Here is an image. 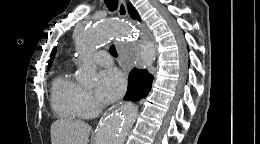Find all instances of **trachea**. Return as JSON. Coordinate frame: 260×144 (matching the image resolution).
<instances>
[{
	"mask_svg": "<svg viewBox=\"0 0 260 144\" xmlns=\"http://www.w3.org/2000/svg\"><path fill=\"white\" fill-rule=\"evenodd\" d=\"M105 1V4L108 8L109 11L113 12L117 9L118 7V0H104ZM109 52L110 54L113 56V57H117L118 54H117V51H116V48L114 45H112L109 49Z\"/></svg>",
	"mask_w": 260,
	"mask_h": 144,
	"instance_id": "3493384b",
	"label": "trachea"
}]
</instances>
